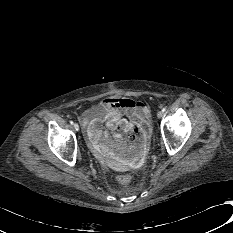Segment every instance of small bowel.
<instances>
[{
  "instance_id": "obj_1",
  "label": "small bowel",
  "mask_w": 233,
  "mask_h": 233,
  "mask_svg": "<svg viewBox=\"0 0 233 233\" xmlns=\"http://www.w3.org/2000/svg\"><path fill=\"white\" fill-rule=\"evenodd\" d=\"M108 115L86 121V129L93 148L126 164L136 163L143 154L144 132L136 126L145 127L150 117L148 106L129 98L108 97L102 101ZM127 116V119L123 118ZM109 128L102 130L103 124ZM120 125V129L116 128Z\"/></svg>"
}]
</instances>
